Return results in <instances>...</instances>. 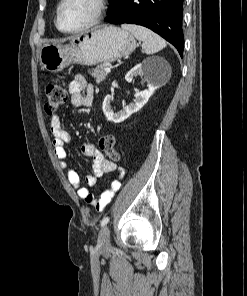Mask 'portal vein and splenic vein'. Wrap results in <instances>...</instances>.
<instances>
[{"mask_svg":"<svg viewBox=\"0 0 247 296\" xmlns=\"http://www.w3.org/2000/svg\"><path fill=\"white\" fill-rule=\"evenodd\" d=\"M104 70H105L106 73H110L111 72V69L109 67H106Z\"/></svg>","mask_w":247,"mask_h":296,"instance_id":"portal-vein-and-splenic-vein-1","label":"portal vein and splenic vein"}]
</instances>
